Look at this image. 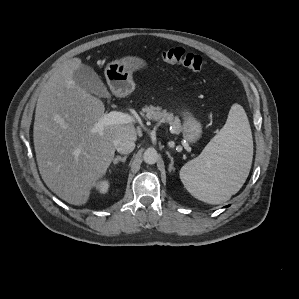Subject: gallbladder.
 Instances as JSON below:
<instances>
[{
  "instance_id": "obj_1",
  "label": "gallbladder",
  "mask_w": 299,
  "mask_h": 299,
  "mask_svg": "<svg viewBox=\"0 0 299 299\" xmlns=\"http://www.w3.org/2000/svg\"><path fill=\"white\" fill-rule=\"evenodd\" d=\"M73 80L81 89L88 93L102 97L109 96V93L98 74L88 65L82 64L79 66L73 72Z\"/></svg>"
}]
</instances>
